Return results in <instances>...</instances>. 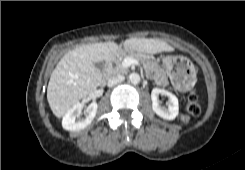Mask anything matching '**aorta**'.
<instances>
[{
    "mask_svg": "<svg viewBox=\"0 0 245 170\" xmlns=\"http://www.w3.org/2000/svg\"><path fill=\"white\" fill-rule=\"evenodd\" d=\"M141 78H140V75L138 73H131L129 75V81L132 83V84H138L140 82Z\"/></svg>",
    "mask_w": 245,
    "mask_h": 170,
    "instance_id": "1",
    "label": "aorta"
}]
</instances>
